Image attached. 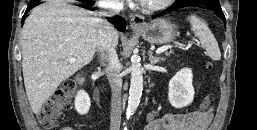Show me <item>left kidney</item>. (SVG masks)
Returning <instances> with one entry per match:
<instances>
[{
	"label": "left kidney",
	"instance_id": "obj_1",
	"mask_svg": "<svg viewBox=\"0 0 257 130\" xmlns=\"http://www.w3.org/2000/svg\"><path fill=\"white\" fill-rule=\"evenodd\" d=\"M193 74L189 68L179 70L169 82L168 100L175 108L190 105L194 99Z\"/></svg>",
	"mask_w": 257,
	"mask_h": 130
}]
</instances>
